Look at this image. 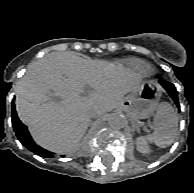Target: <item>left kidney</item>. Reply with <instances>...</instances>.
Wrapping results in <instances>:
<instances>
[{
	"label": "left kidney",
	"mask_w": 194,
	"mask_h": 193,
	"mask_svg": "<svg viewBox=\"0 0 194 193\" xmlns=\"http://www.w3.org/2000/svg\"><path fill=\"white\" fill-rule=\"evenodd\" d=\"M137 149L139 151H141L142 153H148L149 152V148L146 146V144L141 139L137 140Z\"/></svg>",
	"instance_id": "left-kidney-1"
}]
</instances>
